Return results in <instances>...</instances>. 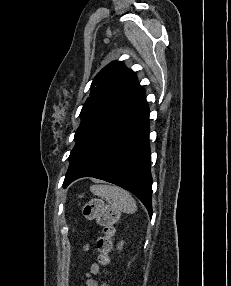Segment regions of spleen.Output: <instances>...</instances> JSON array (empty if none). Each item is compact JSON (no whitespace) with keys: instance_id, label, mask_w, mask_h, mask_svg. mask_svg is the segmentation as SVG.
<instances>
[{"instance_id":"obj_1","label":"spleen","mask_w":231,"mask_h":286,"mask_svg":"<svg viewBox=\"0 0 231 286\" xmlns=\"http://www.w3.org/2000/svg\"><path fill=\"white\" fill-rule=\"evenodd\" d=\"M90 191L102 199H105L111 206L124 212L134 213L137 210L136 201L132 195L117 186L111 185H92Z\"/></svg>"}]
</instances>
